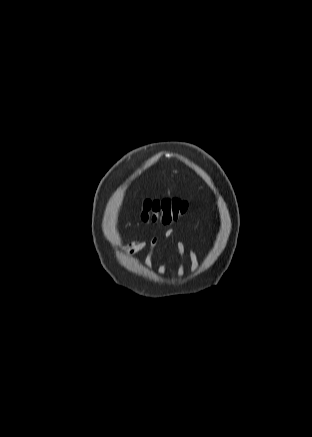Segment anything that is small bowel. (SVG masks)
Instances as JSON below:
<instances>
[{"mask_svg":"<svg viewBox=\"0 0 312 437\" xmlns=\"http://www.w3.org/2000/svg\"><path fill=\"white\" fill-rule=\"evenodd\" d=\"M172 235H173L172 231H168L167 234H166L167 237H170ZM157 245H158V237L154 236V237L151 238V240L148 243L146 241H143V240H135V241L127 244L125 246V249H126V253L128 255H133V254H135L137 252H140V251H142V250H144L145 248L148 247L149 248V252L151 254V253H153L155 251ZM178 248L179 249L182 248V244L181 243L178 244Z\"/></svg>","mask_w":312,"mask_h":437,"instance_id":"small-bowel-1","label":"small bowel"}]
</instances>
